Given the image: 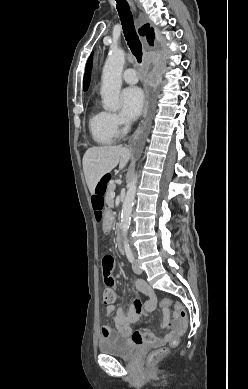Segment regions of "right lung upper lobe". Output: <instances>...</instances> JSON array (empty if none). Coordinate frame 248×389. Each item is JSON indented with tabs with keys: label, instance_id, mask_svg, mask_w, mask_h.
I'll use <instances>...</instances> for the list:
<instances>
[{
	"label": "right lung upper lobe",
	"instance_id": "obj_1",
	"mask_svg": "<svg viewBox=\"0 0 248 389\" xmlns=\"http://www.w3.org/2000/svg\"><path fill=\"white\" fill-rule=\"evenodd\" d=\"M139 34L140 35H145L146 36V39L148 41V43L150 45H154V43L156 42L155 41V32H154V29L152 27H150L149 24H145L144 26H142L140 29H139Z\"/></svg>",
	"mask_w": 248,
	"mask_h": 389
}]
</instances>
